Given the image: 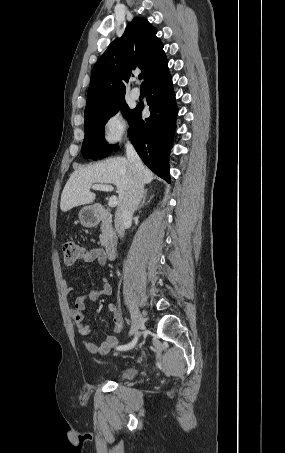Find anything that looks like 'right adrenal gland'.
Returning a JSON list of instances; mask_svg holds the SVG:
<instances>
[{"label":"right adrenal gland","instance_id":"1","mask_svg":"<svg viewBox=\"0 0 285 453\" xmlns=\"http://www.w3.org/2000/svg\"><path fill=\"white\" fill-rule=\"evenodd\" d=\"M147 191H148L147 189L144 191V195H143L142 202H141V204L137 207L136 210H138V209H140V208H142V207L144 206V204H145V202H146Z\"/></svg>","mask_w":285,"mask_h":453}]
</instances>
